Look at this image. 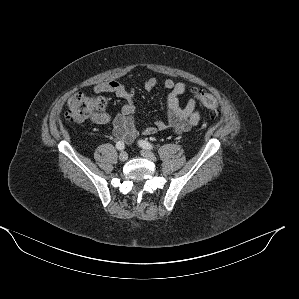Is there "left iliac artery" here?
<instances>
[{
  "instance_id": "obj_1",
  "label": "left iliac artery",
  "mask_w": 299,
  "mask_h": 299,
  "mask_svg": "<svg viewBox=\"0 0 299 299\" xmlns=\"http://www.w3.org/2000/svg\"><path fill=\"white\" fill-rule=\"evenodd\" d=\"M139 145L144 148V149H148V150H152L154 147L151 143H149L148 141L145 140H140L139 141Z\"/></svg>"
}]
</instances>
